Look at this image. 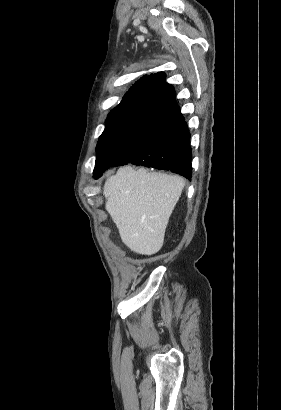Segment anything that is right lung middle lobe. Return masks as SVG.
I'll list each match as a JSON object with an SVG mask.
<instances>
[{"label": "right lung middle lobe", "mask_w": 281, "mask_h": 410, "mask_svg": "<svg viewBox=\"0 0 281 410\" xmlns=\"http://www.w3.org/2000/svg\"><path fill=\"white\" fill-rule=\"evenodd\" d=\"M169 113L148 105H120L108 115L99 137L93 177L111 167L144 133Z\"/></svg>", "instance_id": "right-lung-middle-lobe-1"}]
</instances>
